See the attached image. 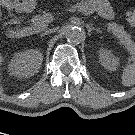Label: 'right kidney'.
Returning <instances> with one entry per match:
<instances>
[{
    "label": "right kidney",
    "mask_w": 135,
    "mask_h": 135,
    "mask_svg": "<svg viewBox=\"0 0 135 135\" xmlns=\"http://www.w3.org/2000/svg\"><path fill=\"white\" fill-rule=\"evenodd\" d=\"M42 60L43 55L40 51L30 49L15 54L8 64V69L16 77H31L40 69Z\"/></svg>",
    "instance_id": "1"
}]
</instances>
